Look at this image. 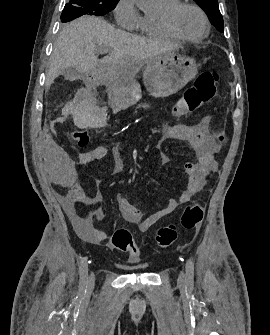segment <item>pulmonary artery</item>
Returning <instances> with one entry per match:
<instances>
[{
    "label": "pulmonary artery",
    "mask_w": 270,
    "mask_h": 335,
    "mask_svg": "<svg viewBox=\"0 0 270 335\" xmlns=\"http://www.w3.org/2000/svg\"><path fill=\"white\" fill-rule=\"evenodd\" d=\"M160 1L170 2V1H174V0H160Z\"/></svg>",
    "instance_id": "e3ab8cb5"
}]
</instances>
